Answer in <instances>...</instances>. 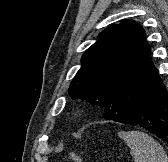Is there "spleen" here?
<instances>
[{
  "instance_id": "3e777b00",
  "label": "spleen",
  "mask_w": 168,
  "mask_h": 162,
  "mask_svg": "<svg viewBox=\"0 0 168 162\" xmlns=\"http://www.w3.org/2000/svg\"><path fill=\"white\" fill-rule=\"evenodd\" d=\"M118 135L129 146L134 162H168L163 147L148 134L141 131H121Z\"/></svg>"
}]
</instances>
